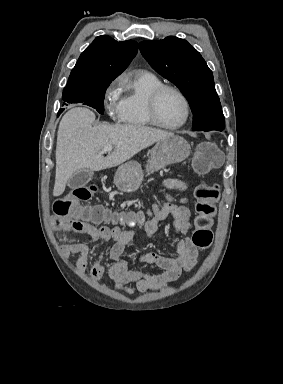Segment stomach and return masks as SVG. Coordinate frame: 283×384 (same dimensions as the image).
Returning <instances> with one entry per match:
<instances>
[{
	"label": "stomach",
	"mask_w": 283,
	"mask_h": 384,
	"mask_svg": "<svg viewBox=\"0 0 283 384\" xmlns=\"http://www.w3.org/2000/svg\"><path fill=\"white\" fill-rule=\"evenodd\" d=\"M190 152V144L181 136H167V138L159 140V142H156L147 162L146 172L148 176L153 172H158L161 168H165V166H169V164L183 162L188 158ZM143 178L144 172L140 164L135 160H131V162L119 166L115 174L114 184L120 192L130 194V192L138 190Z\"/></svg>",
	"instance_id": "0dacf381"
}]
</instances>
